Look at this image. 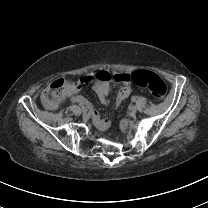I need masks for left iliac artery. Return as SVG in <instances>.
Listing matches in <instances>:
<instances>
[{
    "mask_svg": "<svg viewBox=\"0 0 208 208\" xmlns=\"http://www.w3.org/2000/svg\"><path fill=\"white\" fill-rule=\"evenodd\" d=\"M133 102H135L136 101V98L135 97H132V99H131Z\"/></svg>",
    "mask_w": 208,
    "mask_h": 208,
    "instance_id": "left-iliac-artery-1",
    "label": "left iliac artery"
}]
</instances>
